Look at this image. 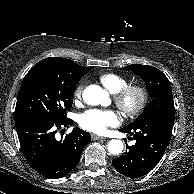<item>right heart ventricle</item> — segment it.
<instances>
[{
	"label": "right heart ventricle",
	"mask_w": 194,
	"mask_h": 194,
	"mask_svg": "<svg viewBox=\"0 0 194 194\" xmlns=\"http://www.w3.org/2000/svg\"><path fill=\"white\" fill-rule=\"evenodd\" d=\"M99 81L112 94L118 92L129 83L124 76L111 72L101 74Z\"/></svg>",
	"instance_id": "obj_1"
}]
</instances>
